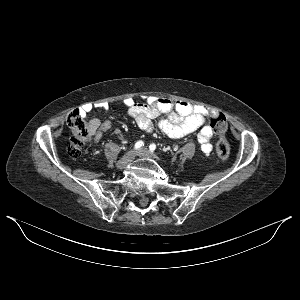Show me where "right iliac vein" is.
Instances as JSON below:
<instances>
[{
	"label": "right iliac vein",
	"instance_id": "right-iliac-vein-1",
	"mask_svg": "<svg viewBox=\"0 0 300 300\" xmlns=\"http://www.w3.org/2000/svg\"><path fill=\"white\" fill-rule=\"evenodd\" d=\"M136 152L134 150L129 151L126 153L116 164L118 169H124L127 167L129 163L134 160Z\"/></svg>",
	"mask_w": 300,
	"mask_h": 300
}]
</instances>
